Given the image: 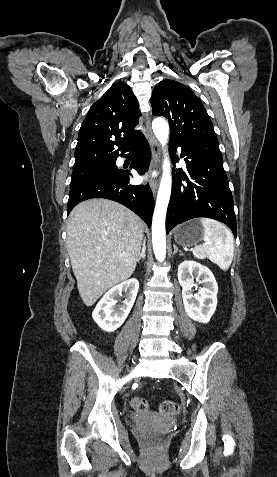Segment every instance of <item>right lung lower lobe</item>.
<instances>
[{"label":"right lung lower lobe","mask_w":277,"mask_h":477,"mask_svg":"<svg viewBox=\"0 0 277 477\" xmlns=\"http://www.w3.org/2000/svg\"><path fill=\"white\" fill-rule=\"evenodd\" d=\"M132 150L131 168L143 174L150 162L151 153L148 142L142 138L135 143ZM121 156H125L122 154ZM116 162V159L113 160ZM131 173L122 169L99 173L70 187L67 213L80 202L92 198H106L123 204L135 212L151 227L154 199L149 185L135 186L129 184Z\"/></svg>","instance_id":"right-lung-lower-lobe-1"}]
</instances>
